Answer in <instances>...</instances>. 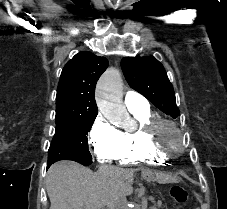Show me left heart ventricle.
I'll use <instances>...</instances> for the list:
<instances>
[{"instance_id":"obj_1","label":"left heart ventricle","mask_w":227,"mask_h":209,"mask_svg":"<svg viewBox=\"0 0 227 209\" xmlns=\"http://www.w3.org/2000/svg\"><path fill=\"white\" fill-rule=\"evenodd\" d=\"M159 139L164 146L180 147L182 145L181 137L169 125H163L159 130Z\"/></svg>"}]
</instances>
